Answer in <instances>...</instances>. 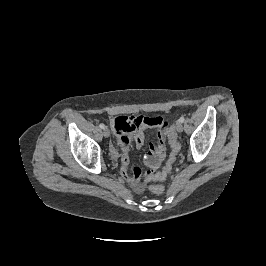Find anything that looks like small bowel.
Segmentation results:
<instances>
[{
	"mask_svg": "<svg viewBox=\"0 0 266 266\" xmlns=\"http://www.w3.org/2000/svg\"><path fill=\"white\" fill-rule=\"evenodd\" d=\"M168 123L161 117L119 116L111 121L119 151L114 150V156L120 159V173L122 178L131 185L136 192L143 190L141 182L142 170L135 167L133 174L128 171L129 152L131 144L141 148L144 145L143 129L154 127L157 129V142L150 144V151L145 156V164L153 172L158 169L166 156V139Z\"/></svg>",
	"mask_w": 266,
	"mask_h": 266,
	"instance_id": "obj_1",
	"label": "small bowel"
}]
</instances>
